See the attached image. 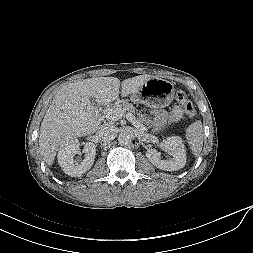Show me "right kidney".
Instances as JSON below:
<instances>
[{
	"mask_svg": "<svg viewBox=\"0 0 253 253\" xmlns=\"http://www.w3.org/2000/svg\"><path fill=\"white\" fill-rule=\"evenodd\" d=\"M79 152L80 143L77 139L68 140L58 151L57 159L59 165L66 174L72 177L82 176V174L93 166L96 155V146L91 142H87L84 145L83 152L85 153V158L80 163L76 162L74 159V156Z\"/></svg>",
	"mask_w": 253,
	"mask_h": 253,
	"instance_id": "1",
	"label": "right kidney"
}]
</instances>
